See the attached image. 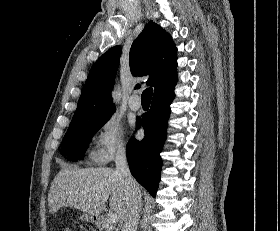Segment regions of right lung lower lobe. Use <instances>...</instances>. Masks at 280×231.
Wrapping results in <instances>:
<instances>
[{"mask_svg":"<svg viewBox=\"0 0 280 231\" xmlns=\"http://www.w3.org/2000/svg\"><path fill=\"white\" fill-rule=\"evenodd\" d=\"M171 91L153 97L149 112L142 116L145 137L142 141L134 137L127 144V159L134 178L155 197L158 189L162 160V150L170 116V104L175 94Z\"/></svg>","mask_w":280,"mask_h":231,"instance_id":"obj_1","label":"right lung lower lobe"}]
</instances>
